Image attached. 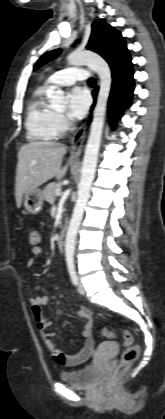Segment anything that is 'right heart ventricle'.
I'll use <instances>...</instances> for the list:
<instances>
[{
    "instance_id": "1",
    "label": "right heart ventricle",
    "mask_w": 165,
    "mask_h": 419,
    "mask_svg": "<svg viewBox=\"0 0 165 419\" xmlns=\"http://www.w3.org/2000/svg\"><path fill=\"white\" fill-rule=\"evenodd\" d=\"M49 86L41 85L32 94L27 106L25 127L29 140L51 141L59 133L55 125V112L46 102Z\"/></svg>"
}]
</instances>
